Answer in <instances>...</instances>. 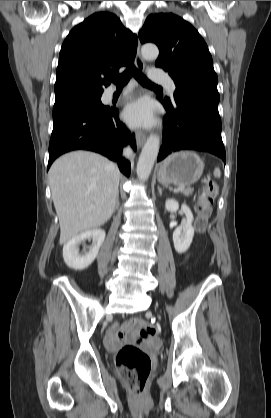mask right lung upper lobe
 <instances>
[{"mask_svg":"<svg viewBox=\"0 0 271 418\" xmlns=\"http://www.w3.org/2000/svg\"><path fill=\"white\" fill-rule=\"evenodd\" d=\"M137 37L119 18L98 12L75 26L63 42L56 71L55 102L102 95L109 75L134 61Z\"/></svg>","mask_w":271,"mask_h":418,"instance_id":"obj_1","label":"right lung upper lobe"}]
</instances>
